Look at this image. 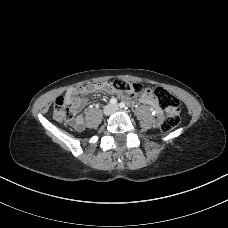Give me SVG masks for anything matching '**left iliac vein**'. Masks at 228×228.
I'll return each instance as SVG.
<instances>
[{"mask_svg":"<svg viewBox=\"0 0 228 228\" xmlns=\"http://www.w3.org/2000/svg\"><path fill=\"white\" fill-rule=\"evenodd\" d=\"M113 109H114V110H117V109H118V106L115 105V106L113 107Z\"/></svg>","mask_w":228,"mask_h":228,"instance_id":"1","label":"left iliac vein"}]
</instances>
